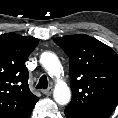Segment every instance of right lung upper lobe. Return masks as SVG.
Masks as SVG:
<instances>
[{"label": "right lung upper lobe", "instance_id": "right-lung-upper-lobe-1", "mask_svg": "<svg viewBox=\"0 0 118 118\" xmlns=\"http://www.w3.org/2000/svg\"><path fill=\"white\" fill-rule=\"evenodd\" d=\"M38 42L31 36L0 35V118H29L39 100L29 89L24 65Z\"/></svg>", "mask_w": 118, "mask_h": 118}]
</instances>
